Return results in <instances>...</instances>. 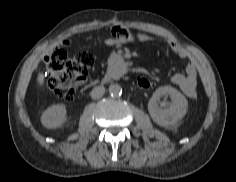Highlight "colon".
<instances>
[{
  "label": "colon",
  "mask_w": 236,
  "mask_h": 182,
  "mask_svg": "<svg viewBox=\"0 0 236 182\" xmlns=\"http://www.w3.org/2000/svg\"><path fill=\"white\" fill-rule=\"evenodd\" d=\"M94 65V57L89 52H81L73 57L61 48H55L46 58L48 85L52 94L64 101H70L76 94ZM141 89H151L154 83L146 76H138Z\"/></svg>",
  "instance_id": "5ec220e1"
}]
</instances>
